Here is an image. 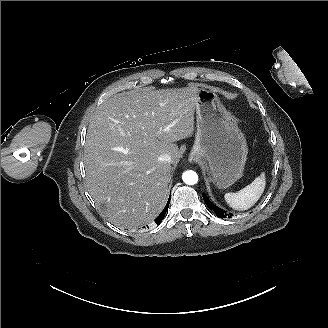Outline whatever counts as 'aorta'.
Wrapping results in <instances>:
<instances>
[{"mask_svg": "<svg viewBox=\"0 0 328 328\" xmlns=\"http://www.w3.org/2000/svg\"><path fill=\"white\" fill-rule=\"evenodd\" d=\"M182 179L184 183L188 185H194L198 182V175L193 170H187L182 174Z\"/></svg>", "mask_w": 328, "mask_h": 328, "instance_id": "762f6f07", "label": "aorta"}]
</instances>
